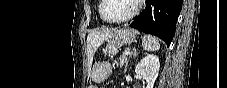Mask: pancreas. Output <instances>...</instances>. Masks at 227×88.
I'll return each mask as SVG.
<instances>
[{
    "mask_svg": "<svg viewBox=\"0 0 227 88\" xmlns=\"http://www.w3.org/2000/svg\"><path fill=\"white\" fill-rule=\"evenodd\" d=\"M128 62L127 56L125 55V51L120 55L118 61L116 62V65H120L121 67L126 65Z\"/></svg>",
    "mask_w": 227,
    "mask_h": 88,
    "instance_id": "cf45deb5",
    "label": "pancreas"
}]
</instances>
